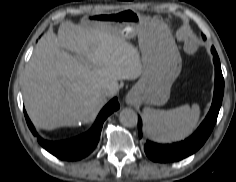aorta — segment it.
Returning a JSON list of instances; mask_svg holds the SVG:
<instances>
[{"label":"aorta","instance_id":"obj_1","mask_svg":"<svg viewBox=\"0 0 236 182\" xmlns=\"http://www.w3.org/2000/svg\"><path fill=\"white\" fill-rule=\"evenodd\" d=\"M119 120L123 126L133 128L138 123V116L134 110L125 108L120 112Z\"/></svg>","mask_w":236,"mask_h":182}]
</instances>
